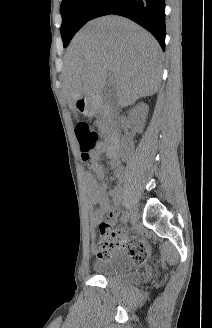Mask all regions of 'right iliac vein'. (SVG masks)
I'll list each match as a JSON object with an SVG mask.
<instances>
[{"label": "right iliac vein", "mask_w": 212, "mask_h": 328, "mask_svg": "<svg viewBox=\"0 0 212 328\" xmlns=\"http://www.w3.org/2000/svg\"><path fill=\"white\" fill-rule=\"evenodd\" d=\"M130 221L132 223L136 222L137 219V210L134 207H131L129 210Z\"/></svg>", "instance_id": "right-iliac-vein-1"}]
</instances>
